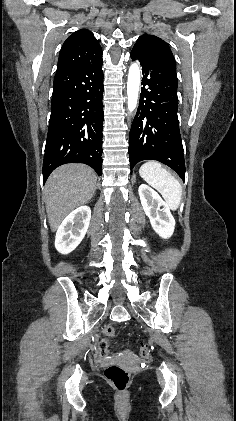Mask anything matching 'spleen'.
<instances>
[{"instance_id": "obj_1", "label": "spleen", "mask_w": 236, "mask_h": 421, "mask_svg": "<svg viewBox=\"0 0 236 421\" xmlns=\"http://www.w3.org/2000/svg\"><path fill=\"white\" fill-rule=\"evenodd\" d=\"M139 174L162 194L172 211H177L181 202L182 186L175 176H172L166 168H162L160 162L156 160L144 162L139 168Z\"/></svg>"}]
</instances>
